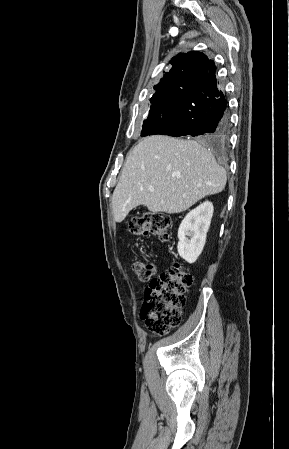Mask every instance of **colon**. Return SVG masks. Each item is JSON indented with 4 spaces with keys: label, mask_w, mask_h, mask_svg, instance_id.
I'll return each instance as SVG.
<instances>
[{
    "label": "colon",
    "mask_w": 289,
    "mask_h": 449,
    "mask_svg": "<svg viewBox=\"0 0 289 449\" xmlns=\"http://www.w3.org/2000/svg\"><path fill=\"white\" fill-rule=\"evenodd\" d=\"M172 226L170 217L160 212H145L128 222L133 235L145 236L149 233L161 240H167ZM133 269L141 281L149 282L145 289L141 316L146 327L156 335H166L171 328L181 322L185 305V293L193 283L192 275L180 264H173L159 277H155L156 266L153 261L137 260Z\"/></svg>",
    "instance_id": "colon-1"
}]
</instances>
